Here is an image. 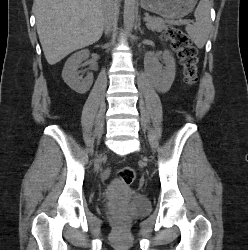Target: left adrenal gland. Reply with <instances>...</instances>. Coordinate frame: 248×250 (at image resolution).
I'll return each mask as SVG.
<instances>
[{
	"label": "left adrenal gland",
	"mask_w": 248,
	"mask_h": 250,
	"mask_svg": "<svg viewBox=\"0 0 248 250\" xmlns=\"http://www.w3.org/2000/svg\"><path fill=\"white\" fill-rule=\"evenodd\" d=\"M139 31H140V33H141V34H144V30H143V29H141V27H140V23H139Z\"/></svg>",
	"instance_id": "left-adrenal-gland-1"
}]
</instances>
